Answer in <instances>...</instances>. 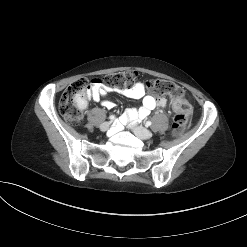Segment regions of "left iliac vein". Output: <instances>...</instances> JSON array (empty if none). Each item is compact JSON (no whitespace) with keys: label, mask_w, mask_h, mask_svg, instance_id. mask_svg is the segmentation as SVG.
<instances>
[{"label":"left iliac vein","mask_w":247,"mask_h":247,"mask_svg":"<svg viewBox=\"0 0 247 247\" xmlns=\"http://www.w3.org/2000/svg\"><path fill=\"white\" fill-rule=\"evenodd\" d=\"M132 130L135 133V135L142 140H147L152 137V133L142 126L133 125Z\"/></svg>","instance_id":"obj_1"}]
</instances>
